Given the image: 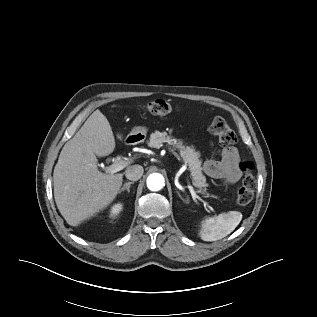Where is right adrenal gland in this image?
I'll return each instance as SVG.
<instances>
[{
	"label": "right adrenal gland",
	"instance_id": "right-adrenal-gland-1",
	"mask_svg": "<svg viewBox=\"0 0 317 317\" xmlns=\"http://www.w3.org/2000/svg\"><path fill=\"white\" fill-rule=\"evenodd\" d=\"M134 182H127L123 185V187L119 190V194H121L124 190L130 192V186L131 184H133Z\"/></svg>",
	"mask_w": 317,
	"mask_h": 317
}]
</instances>
